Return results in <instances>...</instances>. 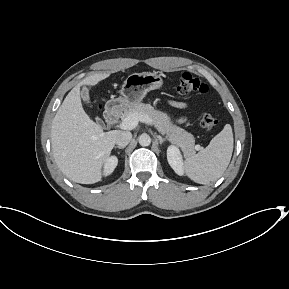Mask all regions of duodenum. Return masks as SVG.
I'll use <instances>...</instances> for the list:
<instances>
[{"label":"duodenum","mask_w":289,"mask_h":289,"mask_svg":"<svg viewBox=\"0 0 289 289\" xmlns=\"http://www.w3.org/2000/svg\"><path fill=\"white\" fill-rule=\"evenodd\" d=\"M121 114L120 109L115 104H110L105 110V119L109 125H113L117 122Z\"/></svg>","instance_id":"duodenum-1"}]
</instances>
